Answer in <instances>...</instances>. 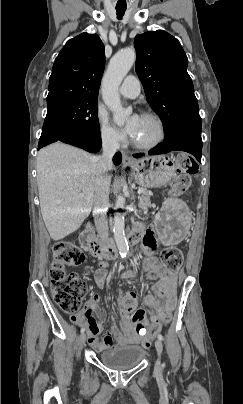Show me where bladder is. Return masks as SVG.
Here are the masks:
<instances>
[{"label": "bladder", "mask_w": 243, "mask_h": 404, "mask_svg": "<svg viewBox=\"0 0 243 404\" xmlns=\"http://www.w3.org/2000/svg\"><path fill=\"white\" fill-rule=\"evenodd\" d=\"M146 357V350L139 345L116 347L99 354L100 362L111 370H130Z\"/></svg>", "instance_id": "obj_1"}]
</instances>
